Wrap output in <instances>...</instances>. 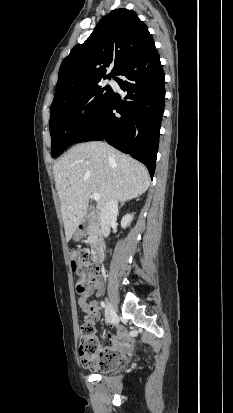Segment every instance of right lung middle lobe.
Returning <instances> with one entry per match:
<instances>
[{
  "instance_id": "dd1d6c3e",
  "label": "right lung middle lobe",
  "mask_w": 233,
  "mask_h": 413,
  "mask_svg": "<svg viewBox=\"0 0 233 413\" xmlns=\"http://www.w3.org/2000/svg\"><path fill=\"white\" fill-rule=\"evenodd\" d=\"M113 91L99 82L53 102L50 110L51 156L54 158L78 139L98 117ZM86 105V117L81 111Z\"/></svg>"
}]
</instances>
